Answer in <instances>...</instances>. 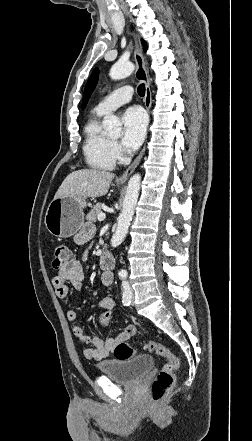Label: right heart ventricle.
I'll return each mask as SVG.
<instances>
[{
	"label": "right heart ventricle",
	"instance_id": "e07e8e85",
	"mask_svg": "<svg viewBox=\"0 0 252 441\" xmlns=\"http://www.w3.org/2000/svg\"><path fill=\"white\" fill-rule=\"evenodd\" d=\"M104 115L95 110L88 118L83 129L82 150L90 168L107 171L115 167L116 158L112 151V141L101 127V119Z\"/></svg>",
	"mask_w": 252,
	"mask_h": 441
}]
</instances>
